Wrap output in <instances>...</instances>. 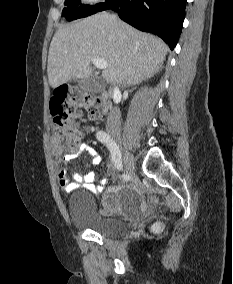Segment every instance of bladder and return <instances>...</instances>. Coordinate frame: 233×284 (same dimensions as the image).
<instances>
[{
    "label": "bladder",
    "instance_id": "bladder-1",
    "mask_svg": "<svg viewBox=\"0 0 233 284\" xmlns=\"http://www.w3.org/2000/svg\"><path fill=\"white\" fill-rule=\"evenodd\" d=\"M110 194H114L124 204H133L139 201L137 192L128 186L105 195L112 204H115ZM68 211L74 226L91 230L103 237H119L125 234L128 228L127 223L122 219L101 215L94 198L85 191H77L71 195L68 202Z\"/></svg>",
    "mask_w": 233,
    "mask_h": 284
}]
</instances>
